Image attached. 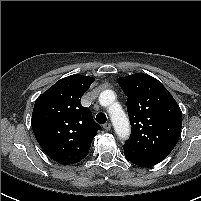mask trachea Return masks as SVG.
Wrapping results in <instances>:
<instances>
[{
    "mask_svg": "<svg viewBox=\"0 0 201 201\" xmlns=\"http://www.w3.org/2000/svg\"><path fill=\"white\" fill-rule=\"evenodd\" d=\"M95 120L99 123V124H104L107 120V117L104 113L100 112L96 115Z\"/></svg>",
    "mask_w": 201,
    "mask_h": 201,
    "instance_id": "obj_1",
    "label": "trachea"
}]
</instances>
